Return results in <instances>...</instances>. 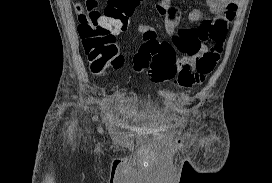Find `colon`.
<instances>
[{
    "label": "colon",
    "instance_id": "1",
    "mask_svg": "<svg viewBox=\"0 0 272 183\" xmlns=\"http://www.w3.org/2000/svg\"><path fill=\"white\" fill-rule=\"evenodd\" d=\"M140 0H108L104 10L97 0H84L76 6L78 34L88 58L90 70L102 74L123 65V56L115 34L124 31ZM223 40L214 42L196 61L194 67L178 68L175 46L169 42H144L134 57L137 71L145 70L157 83L176 80L184 88L202 83L215 68L223 50Z\"/></svg>",
    "mask_w": 272,
    "mask_h": 183
}]
</instances>
